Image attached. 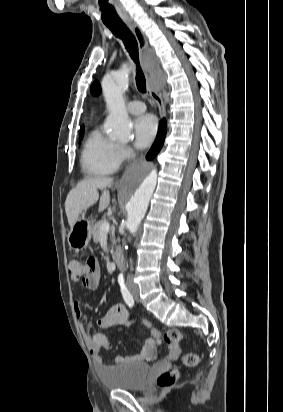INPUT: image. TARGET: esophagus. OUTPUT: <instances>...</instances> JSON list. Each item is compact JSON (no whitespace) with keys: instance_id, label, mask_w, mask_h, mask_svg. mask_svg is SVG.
Segmentation results:
<instances>
[{"instance_id":"1","label":"esophagus","mask_w":283,"mask_h":412,"mask_svg":"<svg viewBox=\"0 0 283 412\" xmlns=\"http://www.w3.org/2000/svg\"><path fill=\"white\" fill-rule=\"evenodd\" d=\"M125 23L128 26V28L132 31V33L134 34L137 40L139 54L141 58V65H142L143 71L147 79V85L150 91V95L158 107L160 118H164L166 115V111H165V106H164L163 99H162V86L160 85L153 86V84L156 83L155 63L145 58L144 56V53L148 49L147 38L144 32L132 19L126 20Z\"/></svg>"}]
</instances>
